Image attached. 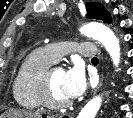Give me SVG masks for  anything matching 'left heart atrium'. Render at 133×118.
Segmentation results:
<instances>
[{
  "label": "left heart atrium",
  "instance_id": "left-heart-atrium-1",
  "mask_svg": "<svg viewBox=\"0 0 133 118\" xmlns=\"http://www.w3.org/2000/svg\"><path fill=\"white\" fill-rule=\"evenodd\" d=\"M62 87L69 99H75L86 91L88 82L82 66L75 65L64 72Z\"/></svg>",
  "mask_w": 133,
  "mask_h": 118
}]
</instances>
